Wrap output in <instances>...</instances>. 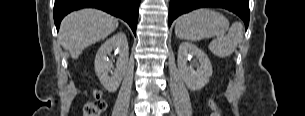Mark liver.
<instances>
[{
	"instance_id": "liver-1",
	"label": "liver",
	"mask_w": 305,
	"mask_h": 116,
	"mask_svg": "<svg viewBox=\"0 0 305 116\" xmlns=\"http://www.w3.org/2000/svg\"><path fill=\"white\" fill-rule=\"evenodd\" d=\"M117 27L118 19L98 9L74 11L61 23L59 42L77 59L86 47L106 38Z\"/></svg>"
}]
</instances>
